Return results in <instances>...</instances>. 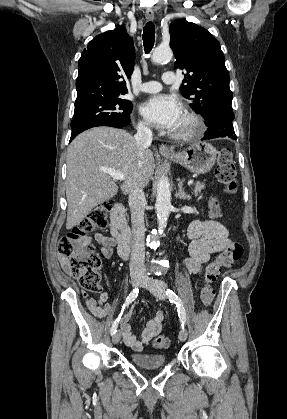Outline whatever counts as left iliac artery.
I'll return each mask as SVG.
<instances>
[{
	"label": "left iliac artery",
	"instance_id": "obj_1",
	"mask_svg": "<svg viewBox=\"0 0 287 419\" xmlns=\"http://www.w3.org/2000/svg\"><path fill=\"white\" fill-rule=\"evenodd\" d=\"M166 295L171 303H174L177 306L178 316L180 318V322L182 324V328H184V324L186 322V313L183 307V303L178 295L172 291L171 289L166 290Z\"/></svg>",
	"mask_w": 287,
	"mask_h": 419
}]
</instances>
